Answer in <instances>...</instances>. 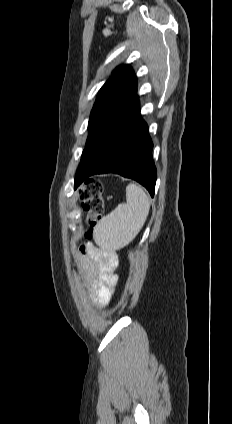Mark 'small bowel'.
I'll return each instance as SVG.
<instances>
[{"label": "small bowel", "instance_id": "obj_1", "mask_svg": "<svg viewBox=\"0 0 232 424\" xmlns=\"http://www.w3.org/2000/svg\"><path fill=\"white\" fill-rule=\"evenodd\" d=\"M77 258L86 272L89 289L95 296V303L99 307L107 304L114 293L117 277L112 272L109 263L96 254H93L89 245L81 246L77 251Z\"/></svg>", "mask_w": 232, "mask_h": 424}]
</instances>
